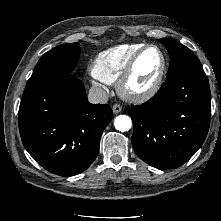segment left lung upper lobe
<instances>
[{"label": "left lung upper lobe", "mask_w": 221, "mask_h": 221, "mask_svg": "<svg viewBox=\"0 0 221 221\" xmlns=\"http://www.w3.org/2000/svg\"><path fill=\"white\" fill-rule=\"evenodd\" d=\"M160 42L167 48L170 56L167 78L177 74L184 68L201 65L198 58L181 43L169 38L160 39Z\"/></svg>", "instance_id": "1"}]
</instances>
